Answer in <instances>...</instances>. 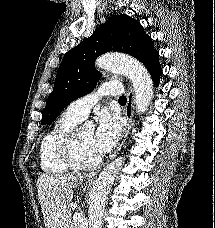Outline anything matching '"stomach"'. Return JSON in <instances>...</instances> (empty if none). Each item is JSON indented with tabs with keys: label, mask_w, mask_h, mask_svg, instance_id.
I'll return each instance as SVG.
<instances>
[{
	"label": "stomach",
	"mask_w": 215,
	"mask_h": 228,
	"mask_svg": "<svg viewBox=\"0 0 215 228\" xmlns=\"http://www.w3.org/2000/svg\"><path fill=\"white\" fill-rule=\"evenodd\" d=\"M85 182H86L87 186H92V182H91L89 176H88V178H85Z\"/></svg>",
	"instance_id": "obj_1"
}]
</instances>
